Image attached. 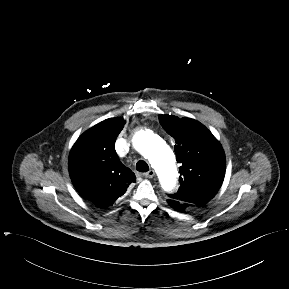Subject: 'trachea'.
Instances as JSON below:
<instances>
[{"mask_svg":"<svg viewBox=\"0 0 289 289\" xmlns=\"http://www.w3.org/2000/svg\"><path fill=\"white\" fill-rule=\"evenodd\" d=\"M136 169L139 172H147V171H149V166H148V164L145 161L140 160L136 164Z\"/></svg>","mask_w":289,"mask_h":289,"instance_id":"1","label":"trachea"}]
</instances>
